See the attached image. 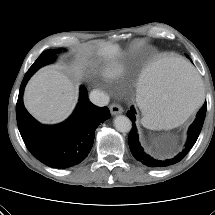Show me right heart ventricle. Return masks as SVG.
Returning <instances> with one entry per match:
<instances>
[{"label":"right heart ventricle","instance_id":"right-heart-ventricle-1","mask_svg":"<svg viewBox=\"0 0 215 215\" xmlns=\"http://www.w3.org/2000/svg\"><path fill=\"white\" fill-rule=\"evenodd\" d=\"M126 65L124 62L111 64L103 69V74L107 78H117L125 71Z\"/></svg>","mask_w":215,"mask_h":215}]
</instances>
